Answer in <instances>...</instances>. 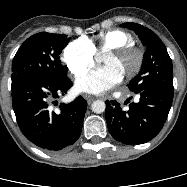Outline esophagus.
I'll use <instances>...</instances> for the list:
<instances>
[{
  "label": "esophagus",
  "instance_id": "1",
  "mask_svg": "<svg viewBox=\"0 0 187 187\" xmlns=\"http://www.w3.org/2000/svg\"><path fill=\"white\" fill-rule=\"evenodd\" d=\"M83 97L87 100L88 104L92 103L96 99V97L87 94L83 95Z\"/></svg>",
  "mask_w": 187,
  "mask_h": 187
}]
</instances>
